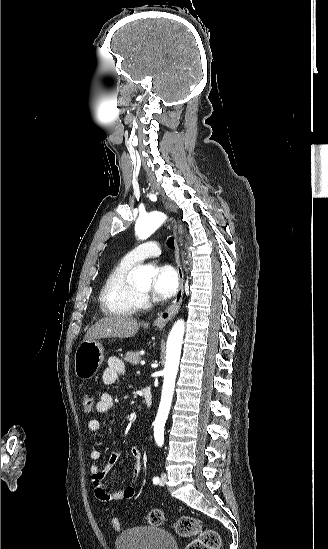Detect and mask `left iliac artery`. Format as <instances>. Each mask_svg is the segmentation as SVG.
Here are the masks:
<instances>
[{
	"label": "left iliac artery",
	"mask_w": 328,
	"mask_h": 549,
	"mask_svg": "<svg viewBox=\"0 0 328 549\" xmlns=\"http://www.w3.org/2000/svg\"><path fill=\"white\" fill-rule=\"evenodd\" d=\"M153 483L158 484L159 483V478L158 477L153 478Z\"/></svg>",
	"instance_id": "44dca946"
}]
</instances>
